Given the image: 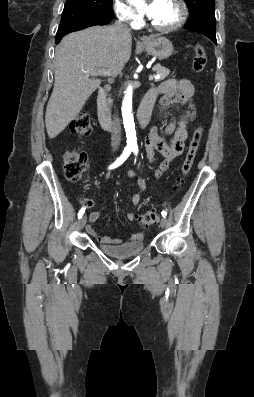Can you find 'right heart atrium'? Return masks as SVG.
<instances>
[{
	"mask_svg": "<svg viewBox=\"0 0 254 397\" xmlns=\"http://www.w3.org/2000/svg\"><path fill=\"white\" fill-rule=\"evenodd\" d=\"M113 7L115 14L120 21L131 26H136L141 22V16L123 0H114Z\"/></svg>",
	"mask_w": 254,
	"mask_h": 397,
	"instance_id": "right-heart-atrium-1",
	"label": "right heart atrium"
}]
</instances>
